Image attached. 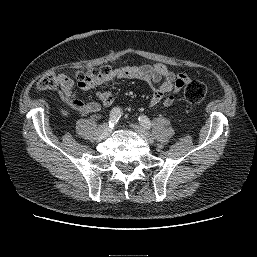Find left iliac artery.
Returning <instances> with one entry per match:
<instances>
[{
  "mask_svg": "<svg viewBox=\"0 0 257 257\" xmlns=\"http://www.w3.org/2000/svg\"><path fill=\"white\" fill-rule=\"evenodd\" d=\"M139 122L141 123L142 126H144L146 129H150L151 128V122L150 120L144 116V115H141L139 117Z\"/></svg>",
  "mask_w": 257,
  "mask_h": 257,
  "instance_id": "obj_1",
  "label": "left iliac artery"
}]
</instances>
